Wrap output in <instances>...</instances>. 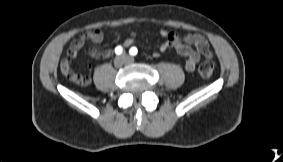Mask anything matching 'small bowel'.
<instances>
[{
	"instance_id": "obj_1",
	"label": "small bowel",
	"mask_w": 283,
	"mask_h": 162,
	"mask_svg": "<svg viewBox=\"0 0 283 162\" xmlns=\"http://www.w3.org/2000/svg\"><path fill=\"white\" fill-rule=\"evenodd\" d=\"M160 35L165 39L164 43L157 51L153 53L155 57H159L162 52L169 48H174L177 53L185 58L184 68L191 72L194 71L200 61L201 56L211 57V51L208 42L204 36L200 34H187L181 36L175 32L160 30ZM104 35L101 30L95 29L82 32L75 39L67 50L68 58L63 59L60 68L62 72H71L70 60L75 58L86 41L99 44L103 41ZM135 42V36L132 35L124 42L126 47L131 46ZM89 55L94 59H106L111 56V50L91 49Z\"/></svg>"
}]
</instances>
